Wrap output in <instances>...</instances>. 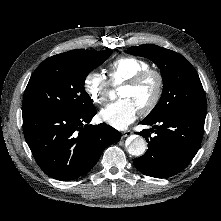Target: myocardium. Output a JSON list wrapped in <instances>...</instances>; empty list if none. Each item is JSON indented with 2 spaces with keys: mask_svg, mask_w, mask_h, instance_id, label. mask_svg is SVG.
<instances>
[{
  "mask_svg": "<svg viewBox=\"0 0 221 221\" xmlns=\"http://www.w3.org/2000/svg\"><path fill=\"white\" fill-rule=\"evenodd\" d=\"M149 78H154L156 81V89L154 96L148 104L139 109L141 115H148L151 113L160 103L163 92H164V77L159 70L148 68L139 73L135 74L133 77L124 81L122 86H139Z\"/></svg>",
  "mask_w": 221,
  "mask_h": 221,
  "instance_id": "1",
  "label": "myocardium"
}]
</instances>
